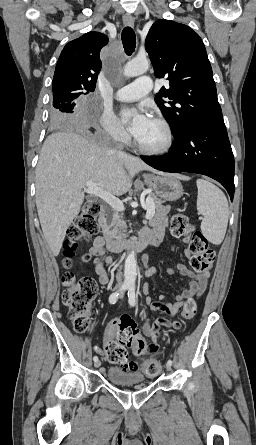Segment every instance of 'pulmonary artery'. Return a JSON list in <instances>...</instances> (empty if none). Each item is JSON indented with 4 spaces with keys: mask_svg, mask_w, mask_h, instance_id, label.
I'll return each instance as SVG.
<instances>
[{
    "mask_svg": "<svg viewBox=\"0 0 256 445\" xmlns=\"http://www.w3.org/2000/svg\"><path fill=\"white\" fill-rule=\"evenodd\" d=\"M152 89V81L150 77L144 76L136 79L133 83L119 89L115 97L119 101L132 102L139 100L147 95Z\"/></svg>",
    "mask_w": 256,
    "mask_h": 445,
    "instance_id": "obj_1",
    "label": "pulmonary artery"
}]
</instances>
